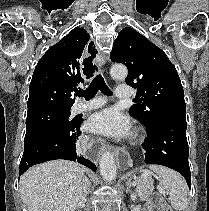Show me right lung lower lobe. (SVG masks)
Segmentation results:
<instances>
[{
  "instance_id": "right-lung-lower-lobe-1",
  "label": "right lung lower lobe",
  "mask_w": 209,
  "mask_h": 211,
  "mask_svg": "<svg viewBox=\"0 0 209 211\" xmlns=\"http://www.w3.org/2000/svg\"><path fill=\"white\" fill-rule=\"evenodd\" d=\"M82 121L77 120L68 126L55 129L24 149L19 176L35 164L55 159L78 161L96 171L95 164L76 152V140L81 134L79 128Z\"/></svg>"
}]
</instances>
